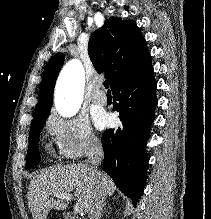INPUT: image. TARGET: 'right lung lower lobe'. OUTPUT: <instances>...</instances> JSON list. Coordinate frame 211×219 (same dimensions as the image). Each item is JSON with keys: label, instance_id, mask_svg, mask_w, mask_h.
Returning <instances> with one entry per match:
<instances>
[{"label": "right lung lower lobe", "instance_id": "right-lung-lower-lobe-1", "mask_svg": "<svg viewBox=\"0 0 211 219\" xmlns=\"http://www.w3.org/2000/svg\"><path fill=\"white\" fill-rule=\"evenodd\" d=\"M153 72L148 59L111 87L113 98L118 101L113 107L119 112L122 126L116 130L108 129L102 136L104 169L134 205L146 183L148 155L145 143L157 106V84Z\"/></svg>", "mask_w": 211, "mask_h": 219}]
</instances>
